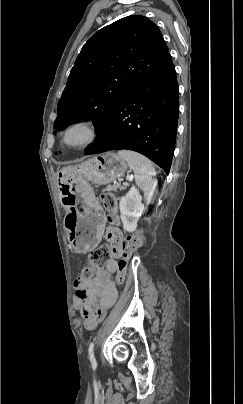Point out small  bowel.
Returning <instances> with one entry per match:
<instances>
[{
	"label": "small bowel",
	"mask_w": 243,
	"mask_h": 404,
	"mask_svg": "<svg viewBox=\"0 0 243 404\" xmlns=\"http://www.w3.org/2000/svg\"><path fill=\"white\" fill-rule=\"evenodd\" d=\"M106 238L112 244L114 254L119 256L122 233L118 229L110 228L106 233ZM117 268V262L110 260L95 278L78 279L74 284L76 289L74 302L81 310L87 330L95 329L99 323L98 315L106 314L107 310L116 302L117 289L111 277Z\"/></svg>",
	"instance_id": "small-bowel-1"
}]
</instances>
